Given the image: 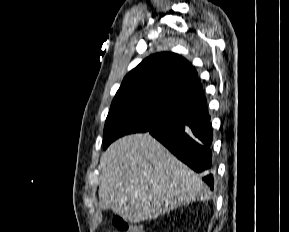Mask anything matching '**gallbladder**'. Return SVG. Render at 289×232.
I'll use <instances>...</instances> for the list:
<instances>
[{"mask_svg": "<svg viewBox=\"0 0 289 232\" xmlns=\"http://www.w3.org/2000/svg\"><path fill=\"white\" fill-rule=\"evenodd\" d=\"M100 204L102 205L103 208H105V209H109L108 206L104 207L103 204H102L101 202H100Z\"/></svg>", "mask_w": 289, "mask_h": 232, "instance_id": "bac80fb5", "label": "gallbladder"}]
</instances>
